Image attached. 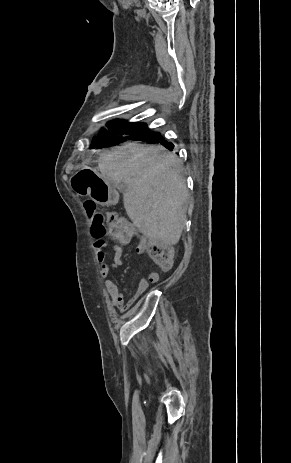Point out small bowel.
I'll use <instances>...</instances> for the list:
<instances>
[{
	"instance_id": "small-bowel-1",
	"label": "small bowel",
	"mask_w": 291,
	"mask_h": 463,
	"mask_svg": "<svg viewBox=\"0 0 291 463\" xmlns=\"http://www.w3.org/2000/svg\"><path fill=\"white\" fill-rule=\"evenodd\" d=\"M118 243L112 246L113 259L112 261L107 260L106 253L103 251V247L95 245L97 250V259L101 264L100 275L104 279V288L108 293L112 305L120 310L126 312L135 303V301L146 291L150 283L156 282L159 279V274L154 272L148 278H141L137 287V290L133 297L126 303L123 293L120 291L117 284L110 278V270L118 269L123 265L122 261V245L128 243L129 240H117ZM136 251L141 254L143 251L140 249L137 242Z\"/></svg>"
}]
</instances>
